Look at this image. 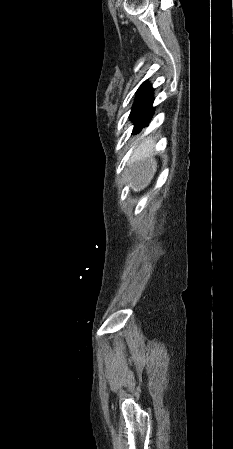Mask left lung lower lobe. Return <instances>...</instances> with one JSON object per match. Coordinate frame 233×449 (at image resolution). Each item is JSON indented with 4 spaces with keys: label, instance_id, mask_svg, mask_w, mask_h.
Here are the masks:
<instances>
[{
    "label": "left lung lower lobe",
    "instance_id": "obj_1",
    "mask_svg": "<svg viewBox=\"0 0 233 449\" xmlns=\"http://www.w3.org/2000/svg\"><path fill=\"white\" fill-rule=\"evenodd\" d=\"M153 113H154V108L151 107L150 110L146 113L145 118L142 121L139 128L136 130H133V133L137 132L140 128L147 126L152 119Z\"/></svg>",
    "mask_w": 233,
    "mask_h": 449
}]
</instances>
